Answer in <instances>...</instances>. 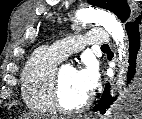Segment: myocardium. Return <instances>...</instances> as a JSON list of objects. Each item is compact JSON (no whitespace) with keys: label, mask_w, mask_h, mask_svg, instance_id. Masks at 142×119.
Wrapping results in <instances>:
<instances>
[{"label":"myocardium","mask_w":142,"mask_h":119,"mask_svg":"<svg viewBox=\"0 0 142 119\" xmlns=\"http://www.w3.org/2000/svg\"><path fill=\"white\" fill-rule=\"evenodd\" d=\"M51 100L55 110L65 114H72L86 109L92 101V95H88L78 105L73 107L65 106L61 100V70H57L51 84Z\"/></svg>","instance_id":"obj_1"}]
</instances>
